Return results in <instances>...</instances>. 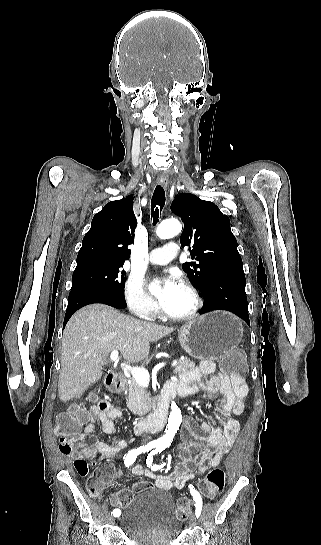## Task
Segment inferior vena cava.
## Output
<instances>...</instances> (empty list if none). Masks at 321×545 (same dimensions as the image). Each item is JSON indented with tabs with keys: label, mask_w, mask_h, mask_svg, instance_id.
I'll list each match as a JSON object with an SVG mask.
<instances>
[{
	"label": "inferior vena cava",
	"mask_w": 321,
	"mask_h": 545,
	"mask_svg": "<svg viewBox=\"0 0 321 545\" xmlns=\"http://www.w3.org/2000/svg\"><path fill=\"white\" fill-rule=\"evenodd\" d=\"M143 437H146V435H143ZM144 441H147V439H144Z\"/></svg>",
	"instance_id": "obj_1"
}]
</instances>
